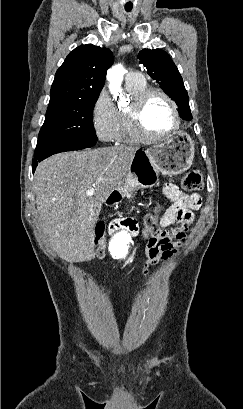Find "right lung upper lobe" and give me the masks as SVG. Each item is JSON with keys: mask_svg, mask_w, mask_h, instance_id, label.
Here are the masks:
<instances>
[{"mask_svg": "<svg viewBox=\"0 0 243 409\" xmlns=\"http://www.w3.org/2000/svg\"><path fill=\"white\" fill-rule=\"evenodd\" d=\"M112 52L92 44L74 49L57 70L50 102L96 100L103 88Z\"/></svg>", "mask_w": 243, "mask_h": 409, "instance_id": "cb5924a9", "label": "right lung upper lobe"}]
</instances>
